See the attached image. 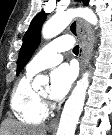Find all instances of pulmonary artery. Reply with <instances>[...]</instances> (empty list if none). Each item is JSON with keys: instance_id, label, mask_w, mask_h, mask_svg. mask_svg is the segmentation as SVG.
<instances>
[{"instance_id": "1", "label": "pulmonary artery", "mask_w": 112, "mask_h": 135, "mask_svg": "<svg viewBox=\"0 0 112 135\" xmlns=\"http://www.w3.org/2000/svg\"><path fill=\"white\" fill-rule=\"evenodd\" d=\"M73 40L70 36H61L47 43L29 62L27 71L37 73L61 62L62 52L71 49Z\"/></svg>"}]
</instances>
